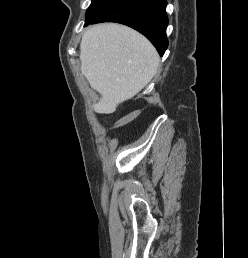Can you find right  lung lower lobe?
Instances as JSON below:
<instances>
[{
  "mask_svg": "<svg viewBox=\"0 0 248 258\" xmlns=\"http://www.w3.org/2000/svg\"><path fill=\"white\" fill-rule=\"evenodd\" d=\"M166 0H117L97 18L85 21V26L101 22H117L142 33L162 56L167 49Z\"/></svg>",
  "mask_w": 248,
  "mask_h": 258,
  "instance_id": "98d812e1",
  "label": "right lung lower lobe"
}]
</instances>
